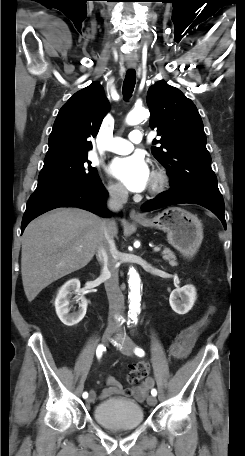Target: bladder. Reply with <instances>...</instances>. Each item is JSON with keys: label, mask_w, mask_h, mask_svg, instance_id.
Wrapping results in <instances>:
<instances>
[{"label": "bladder", "mask_w": 245, "mask_h": 456, "mask_svg": "<svg viewBox=\"0 0 245 456\" xmlns=\"http://www.w3.org/2000/svg\"><path fill=\"white\" fill-rule=\"evenodd\" d=\"M93 417L98 424L112 430L136 429L144 419L141 406L123 398H109L98 403Z\"/></svg>", "instance_id": "obj_1"}]
</instances>
